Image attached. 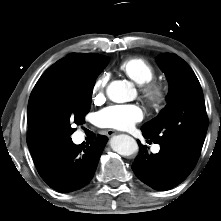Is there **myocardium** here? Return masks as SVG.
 Masks as SVG:
<instances>
[{"label":"myocardium","instance_id":"myocardium-1","mask_svg":"<svg viewBox=\"0 0 221 221\" xmlns=\"http://www.w3.org/2000/svg\"><path fill=\"white\" fill-rule=\"evenodd\" d=\"M142 94L146 102L153 109H162L167 100L165 87L158 82H148L142 86Z\"/></svg>","mask_w":221,"mask_h":221}]
</instances>
